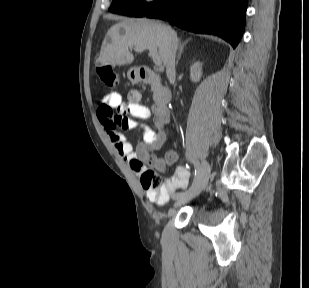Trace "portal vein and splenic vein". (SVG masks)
Returning a JSON list of instances; mask_svg holds the SVG:
<instances>
[{"label": "portal vein and splenic vein", "instance_id": "18ae733b", "mask_svg": "<svg viewBox=\"0 0 309 288\" xmlns=\"http://www.w3.org/2000/svg\"><path fill=\"white\" fill-rule=\"evenodd\" d=\"M145 49H149L150 55L153 59V62L155 65L160 66L162 64V60L160 56L157 54V48L156 47H145V46H138L135 47L134 50L136 52H143Z\"/></svg>", "mask_w": 309, "mask_h": 288}]
</instances>
